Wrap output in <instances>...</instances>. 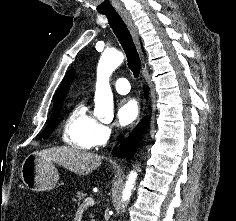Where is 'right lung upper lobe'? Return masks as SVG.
Returning a JSON list of instances; mask_svg holds the SVG:
<instances>
[{
    "label": "right lung upper lobe",
    "mask_w": 236,
    "mask_h": 221,
    "mask_svg": "<svg viewBox=\"0 0 236 221\" xmlns=\"http://www.w3.org/2000/svg\"><path fill=\"white\" fill-rule=\"evenodd\" d=\"M73 77H74V69H71L70 71H68V73L65 75L56 95H55V98H54V105L53 106H56V105H59V104H62L65 96L67 95V92L70 88V85L72 83V80H73Z\"/></svg>",
    "instance_id": "obj_1"
}]
</instances>
